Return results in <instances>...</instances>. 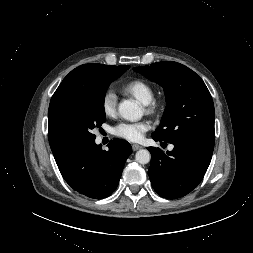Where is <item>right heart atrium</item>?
Listing matches in <instances>:
<instances>
[{
  "label": "right heart atrium",
  "instance_id": "right-heart-atrium-1",
  "mask_svg": "<svg viewBox=\"0 0 253 253\" xmlns=\"http://www.w3.org/2000/svg\"><path fill=\"white\" fill-rule=\"evenodd\" d=\"M101 108L105 116H115L117 111V96L113 91L108 90L104 93L101 100Z\"/></svg>",
  "mask_w": 253,
  "mask_h": 253
}]
</instances>
